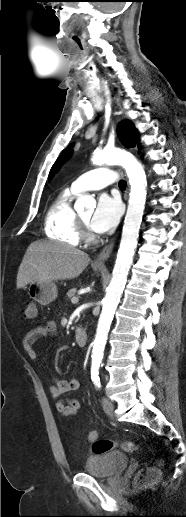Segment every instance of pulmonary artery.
I'll return each mask as SVG.
<instances>
[{
    "label": "pulmonary artery",
    "mask_w": 186,
    "mask_h": 517,
    "mask_svg": "<svg viewBox=\"0 0 186 517\" xmlns=\"http://www.w3.org/2000/svg\"><path fill=\"white\" fill-rule=\"evenodd\" d=\"M116 181V173L112 169L104 167L84 173L71 184V188L75 192L99 190Z\"/></svg>",
    "instance_id": "e3ab8cb5"
}]
</instances>
